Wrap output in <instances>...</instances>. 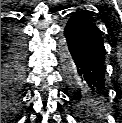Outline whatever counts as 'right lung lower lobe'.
Instances as JSON below:
<instances>
[{"mask_svg": "<svg viewBox=\"0 0 122 123\" xmlns=\"http://www.w3.org/2000/svg\"><path fill=\"white\" fill-rule=\"evenodd\" d=\"M25 45L20 34L1 25V97L15 100L24 78Z\"/></svg>", "mask_w": 122, "mask_h": 123, "instance_id": "right-lung-lower-lobe-1", "label": "right lung lower lobe"}]
</instances>
